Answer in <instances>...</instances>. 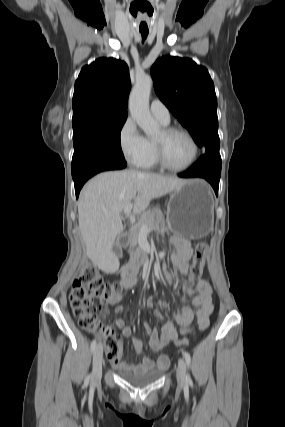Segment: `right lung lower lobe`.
Instances as JSON below:
<instances>
[{
  "mask_svg": "<svg viewBox=\"0 0 285 427\" xmlns=\"http://www.w3.org/2000/svg\"><path fill=\"white\" fill-rule=\"evenodd\" d=\"M126 165L125 160H118L104 155L90 157L72 172L76 197H78L83 184L93 175L102 171L123 169Z\"/></svg>",
  "mask_w": 285,
  "mask_h": 427,
  "instance_id": "1",
  "label": "right lung lower lobe"
}]
</instances>
